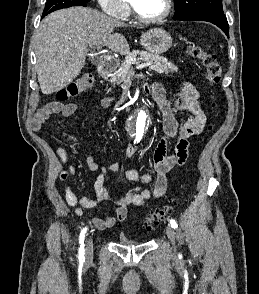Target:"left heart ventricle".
<instances>
[{
  "instance_id": "b2bd125f",
  "label": "left heart ventricle",
  "mask_w": 259,
  "mask_h": 294,
  "mask_svg": "<svg viewBox=\"0 0 259 294\" xmlns=\"http://www.w3.org/2000/svg\"><path fill=\"white\" fill-rule=\"evenodd\" d=\"M136 10L144 17H156L163 13L165 0H130Z\"/></svg>"
}]
</instances>
